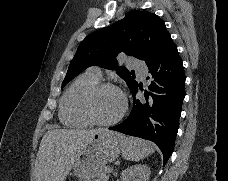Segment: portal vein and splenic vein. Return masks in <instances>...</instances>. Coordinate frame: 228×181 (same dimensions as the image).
<instances>
[{"instance_id": "18ae733b", "label": "portal vein and splenic vein", "mask_w": 228, "mask_h": 181, "mask_svg": "<svg viewBox=\"0 0 228 181\" xmlns=\"http://www.w3.org/2000/svg\"><path fill=\"white\" fill-rule=\"evenodd\" d=\"M108 171V174H115L116 173V170H115V167L114 166H111L107 169Z\"/></svg>"}]
</instances>
